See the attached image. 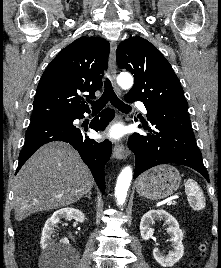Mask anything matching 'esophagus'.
<instances>
[{
    "label": "esophagus",
    "mask_w": 221,
    "mask_h": 268,
    "mask_svg": "<svg viewBox=\"0 0 221 268\" xmlns=\"http://www.w3.org/2000/svg\"><path fill=\"white\" fill-rule=\"evenodd\" d=\"M116 49H117V44L115 42H111V50H110V57H109L110 75H111V80H112L115 90L117 91L119 95H122V92L116 83V73H117ZM128 154L129 152L125 148L123 143L121 142L115 143L113 147V152H112V155L114 158L124 159L128 156Z\"/></svg>",
    "instance_id": "obj_1"
}]
</instances>
